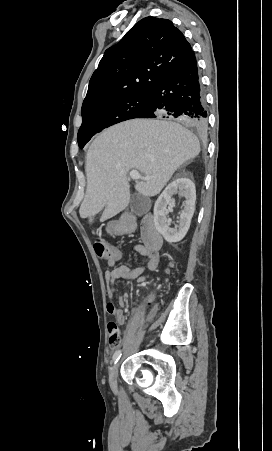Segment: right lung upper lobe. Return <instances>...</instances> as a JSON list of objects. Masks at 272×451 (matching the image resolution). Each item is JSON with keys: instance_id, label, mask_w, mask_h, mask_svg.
I'll return each instance as SVG.
<instances>
[{"instance_id": "right-lung-upper-lobe-1", "label": "right lung upper lobe", "mask_w": 272, "mask_h": 451, "mask_svg": "<svg viewBox=\"0 0 272 451\" xmlns=\"http://www.w3.org/2000/svg\"><path fill=\"white\" fill-rule=\"evenodd\" d=\"M194 52L170 20L146 17L107 49L94 71L81 112L107 100L150 94Z\"/></svg>"}]
</instances>
